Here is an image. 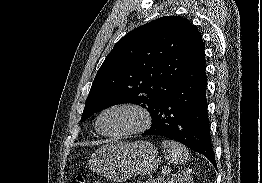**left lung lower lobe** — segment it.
Segmentation results:
<instances>
[{
    "mask_svg": "<svg viewBox=\"0 0 262 183\" xmlns=\"http://www.w3.org/2000/svg\"><path fill=\"white\" fill-rule=\"evenodd\" d=\"M206 86L203 52L177 81L156 111L151 127L142 135H160L177 140L207 157L216 168L209 132Z\"/></svg>",
    "mask_w": 262,
    "mask_h": 183,
    "instance_id": "obj_1",
    "label": "left lung lower lobe"
}]
</instances>
